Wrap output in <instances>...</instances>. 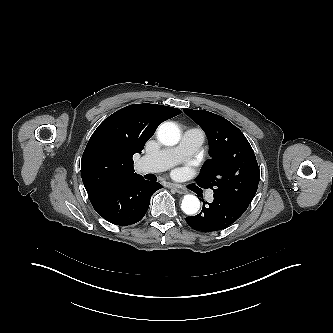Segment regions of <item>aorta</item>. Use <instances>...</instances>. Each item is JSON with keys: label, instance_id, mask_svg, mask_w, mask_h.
<instances>
[{"label": "aorta", "instance_id": "obj_1", "mask_svg": "<svg viewBox=\"0 0 333 333\" xmlns=\"http://www.w3.org/2000/svg\"><path fill=\"white\" fill-rule=\"evenodd\" d=\"M159 141L166 146L176 145L180 140V130L173 122L162 123L157 131ZM200 208L199 199L191 194L183 197L181 203L182 211L187 215H194Z\"/></svg>", "mask_w": 333, "mask_h": 333}]
</instances>
